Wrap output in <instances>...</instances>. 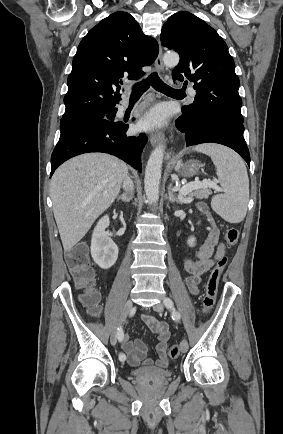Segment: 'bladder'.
<instances>
[{
    "label": "bladder",
    "mask_w": 283,
    "mask_h": 434,
    "mask_svg": "<svg viewBox=\"0 0 283 434\" xmlns=\"http://www.w3.org/2000/svg\"><path fill=\"white\" fill-rule=\"evenodd\" d=\"M131 374L139 379H168L172 372L169 369H160L154 367H140L131 370Z\"/></svg>",
    "instance_id": "1"
}]
</instances>
